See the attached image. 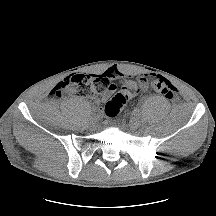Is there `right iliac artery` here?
I'll list each match as a JSON object with an SVG mask.
<instances>
[{
    "label": "right iliac artery",
    "instance_id": "right-iliac-artery-1",
    "mask_svg": "<svg viewBox=\"0 0 216 216\" xmlns=\"http://www.w3.org/2000/svg\"><path fill=\"white\" fill-rule=\"evenodd\" d=\"M96 112H98L97 109H93L88 115L91 117L92 115L96 114Z\"/></svg>",
    "mask_w": 216,
    "mask_h": 216
}]
</instances>
